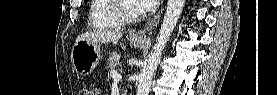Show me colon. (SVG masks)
I'll return each mask as SVG.
<instances>
[{
	"instance_id": "5ec220e1",
	"label": "colon",
	"mask_w": 277,
	"mask_h": 95,
	"mask_svg": "<svg viewBox=\"0 0 277 95\" xmlns=\"http://www.w3.org/2000/svg\"><path fill=\"white\" fill-rule=\"evenodd\" d=\"M80 94L81 95H96L97 93L91 88H86V89H83Z\"/></svg>"
}]
</instances>
